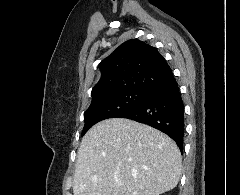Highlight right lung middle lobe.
Wrapping results in <instances>:
<instances>
[{"instance_id": "obj_1", "label": "right lung middle lobe", "mask_w": 240, "mask_h": 195, "mask_svg": "<svg viewBox=\"0 0 240 195\" xmlns=\"http://www.w3.org/2000/svg\"><path fill=\"white\" fill-rule=\"evenodd\" d=\"M146 93L136 90H124L92 99V103L84 113L85 125L82 136L97 122L120 117L138 106L145 98Z\"/></svg>"}]
</instances>
